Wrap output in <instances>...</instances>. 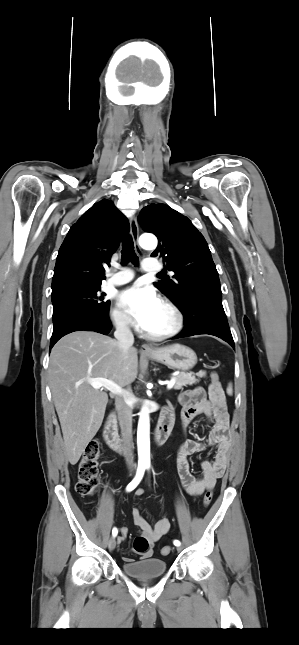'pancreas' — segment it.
Here are the masks:
<instances>
[{
    "label": "pancreas",
    "mask_w": 299,
    "mask_h": 645,
    "mask_svg": "<svg viewBox=\"0 0 299 645\" xmlns=\"http://www.w3.org/2000/svg\"><path fill=\"white\" fill-rule=\"evenodd\" d=\"M205 375H206L205 371H200V372H198L196 374H193V373H180L177 376L172 377V379L175 378V380H176L173 388L175 390H179L183 386L196 384L197 382H199V379H197L196 376L199 377V378H202Z\"/></svg>",
    "instance_id": "cf45deb5"
}]
</instances>
